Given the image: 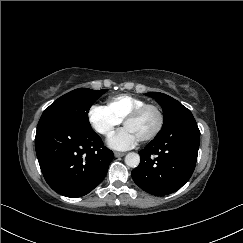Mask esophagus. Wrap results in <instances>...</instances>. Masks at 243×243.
<instances>
[{"label": "esophagus", "instance_id": "obj_1", "mask_svg": "<svg viewBox=\"0 0 243 243\" xmlns=\"http://www.w3.org/2000/svg\"><path fill=\"white\" fill-rule=\"evenodd\" d=\"M114 156L115 157H123V156H125V153H122V152H114Z\"/></svg>", "mask_w": 243, "mask_h": 243}]
</instances>
